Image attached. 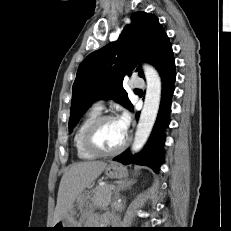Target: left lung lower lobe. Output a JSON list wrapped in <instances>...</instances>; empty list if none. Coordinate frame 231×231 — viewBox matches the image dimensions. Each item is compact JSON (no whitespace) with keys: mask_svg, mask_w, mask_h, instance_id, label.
Masks as SVG:
<instances>
[{"mask_svg":"<svg viewBox=\"0 0 231 231\" xmlns=\"http://www.w3.org/2000/svg\"><path fill=\"white\" fill-rule=\"evenodd\" d=\"M151 64L159 71L162 79L160 108L151 136L148 143L139 154L131 156L130 150L127 149L113 160L125 165L130 163L146 165L151 167L155 172H158L163 162V145L165 142L164 130L168 127L170 122L169 113L171 110V98L174 92L175 82V61L169 38L163 42ZM138 116L139 114H137L136 117L138 118Z\"/></svg>","mask_w":231,"mask_h":231,"instance_id":"1","label":"left lung lower lobe"}]
</instances>
